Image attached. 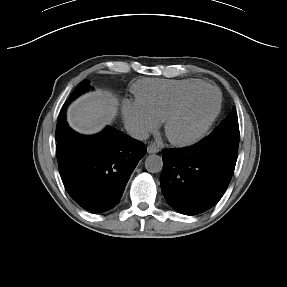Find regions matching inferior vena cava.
I'll return each mask as SVG.
<instances>
[{
	"mask_svg": "<svg viewBox=\"0 0 287 287\" xmlns=\"http://www.w3.org/2000/svg\"><path fill=\"white\" fill-rule=\"evenodd\" d=\"M125 130L129 136L138 140H146L149 138L148 131L140 124L135 122L125 123Z\"/></svg>",
	"mask_w": 287,
	"mask_h": 287,
	"instance_id": "obj_1",
	"label": "inferior vena cava"
}]
</instances>
